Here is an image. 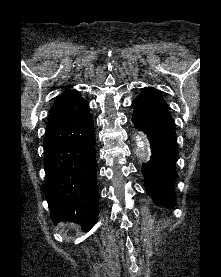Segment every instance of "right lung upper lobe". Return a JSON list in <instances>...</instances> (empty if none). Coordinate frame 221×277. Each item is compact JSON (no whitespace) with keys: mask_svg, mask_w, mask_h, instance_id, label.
<instances>
[{"mask_svg":"<svg viewBox=\"0 0 221 277\" xmlns=\"http://www.w3.org/2000/svg\"><path fill=\"white\" fill-rule=\"evenodd\" d=\"M68 91H71V90H66V91H65V92H63V93H66V92H68ZM63 93H62V94H63Z\"/></svg>","mask_w":221,"mask_h":277,"instance_id":"obj_1","label":"right lung upper lobe"}]
</instances>
